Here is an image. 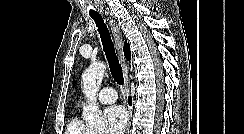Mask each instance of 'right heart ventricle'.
<instances>
[{
    "label": "right heart ventricle",
    "instance_id": "e07e8e85",
    "mask_svg": "<svg viewBox=\"0 0 244 134\" xmlns=\"http://www.w3.org/2000/svg\"><path fill=\"white\" fill-rule=\"evenodd\" d=\"M65 134H93L79 117H73L67 125Z\"/></svg>",
    "mask_w": 244,
    "mask_h": 134
}]
</instances>
